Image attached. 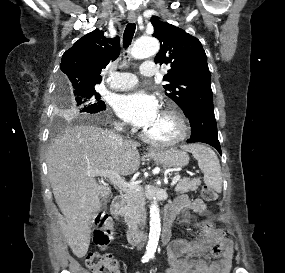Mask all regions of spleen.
<instances>
[{"instance_id":"spleen-1","label":"spleen","mask_w":285,"mask_h":273,"mask_svg":"<svg viewBox=\"0 0 285 273\" xmlns=\"http://www.w3.org/2000/svg\"><path fill=\"white\" fill-rule=\"evenodd\" d=\"M183 149L191 152L198 161V166L204 174L205 184L216 192H221V167L215 152L201 144H191L184 146Z\"/></svg>"}]
</instances>
